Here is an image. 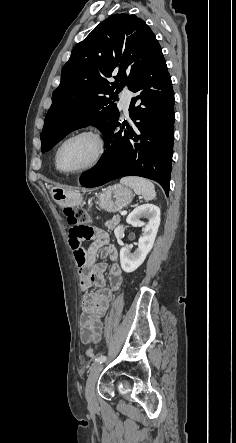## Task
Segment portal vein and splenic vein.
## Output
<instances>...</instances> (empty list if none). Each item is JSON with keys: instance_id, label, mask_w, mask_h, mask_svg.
<instances>
[{"instance_id": "obj_1", "label": "portal vein and splenic vein", "mask_w": 236, "mask_h": 443, "mask_svg": "<svg viewBox=\"0 0 236 443\" xmlns=\"http://www.w3.org/2000/svg\"><path fill=\"white\" fill-rule=\"evenodd\" d=\"M126 214H127L126 211L121 212V215H126Z\"/></svg>"}]
</instances>
